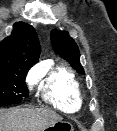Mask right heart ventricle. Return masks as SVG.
I'll return each mask as SVG.
<instances>
[{"instance_id": "e07e8e85", "label": "right heart ventricle", "mask_w": 117, "mask_h": 131, "mask_svg": "<svg viewBox=\"0 0 117 131\" xmlns=\"http://www.w3.org/2000/svg\"><path fill=\"white\" fill-rule=\"evenodd\" d=\"M43 97L55 107L67 112L77 111L84 100L80 81L63 65L56 66L46 76Z\"/></svg>"}]
</instances>
